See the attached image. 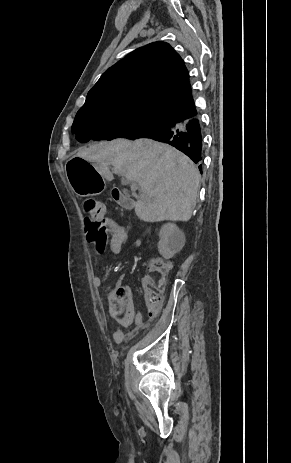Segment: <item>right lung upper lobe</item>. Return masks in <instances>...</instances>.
Instances as JSON below:
<instances>
[{"label":"right lung upper lobe","mask_w":291,"mask_h":463,"mask_svg":"<svg viewBox=\"0 0 291 463\" xmlns=\"http://www.w3.org/2000/svg\"><path fill=\"white\" fill-rule=\"evenodd\" d=\"M110 106L184 121L197 116L184 61L165 42L138 48L107 69L80 109Z\"/></svg>","instance_id":"1"}]
</instances>
